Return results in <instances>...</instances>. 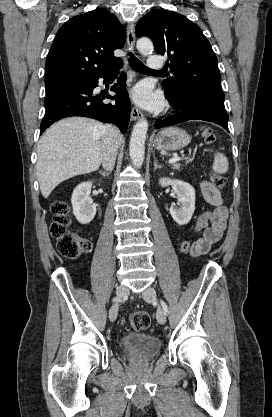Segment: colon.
I'll list each match as a JSON object with an SVG mask.
<instances>
[{
	"mask_svg": "<svg viewBox=\"0 0 272 417\" xmlns=\"http://www.w3.org/2000/svg\"><path fill=\"white\" fill-rule=\"evenodd\" d=\"M202 135L205 142L209 145L213 144L216 140L214 131L209 127L203 129ZM210 179L212 185L216 188L221 189L226 184L225 177L217 173H212ZM51 211L53 214L51 234L56 239L59 253L66 258L75 259L90 251L92 247L90 241L83 239L67 229L70 224L68 204L63 200H57L53 202ZM199 239L181 242L179 245L180 252L183 254L190 252ZM129 323L133 330H145L150 326V317L145 312H136L130 316Z\"/></svg>",
	"mask_w": 272,
	"mask_h": 417,
	"instance_id": "colon-1",
	"label": "colon"
}]
</instances>
